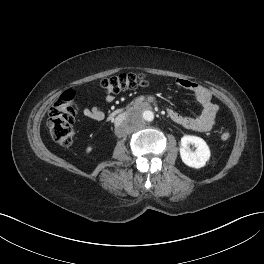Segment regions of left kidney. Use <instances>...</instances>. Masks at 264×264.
Masks as SVG:
<instances>
[{
	"label": "left kidney",
	"instance_id": "5707ae66",
	"mask_svg": "<svg viewBox=\"0 0 264 264\" xmlns=\"http://www.w3.org/2000/svg\"><path fill=\"white\" fill-rule=\"evenodd\" d=\"M190 145L196 147L195 151L190 149ZM210 155V149L202 138L192 135H185L181 138L180 156L187 166L196 169L204 167Z\"/></svg>",
	"mask_w": 264,
	"mask_h": 264
}]
</instances>
